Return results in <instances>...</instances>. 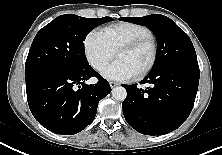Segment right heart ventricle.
Returning <instances> with one entry per match:
<instances>
[{"instance_id":"1","label":"right heart ventricle","mask_w":222,"mask_h":155,"mask_svg":"<svg viewBox=\"0 0 222 155\" xmlns=\"http://www.w3.org/2000/svg\"><path fill=\"white\" fill-rule=\"evenodd\" d=\"M101 33L114 51L125 43L152 35L149 27L134 22L113 24L105 27Z\"/></svg>"}]
</instances>
